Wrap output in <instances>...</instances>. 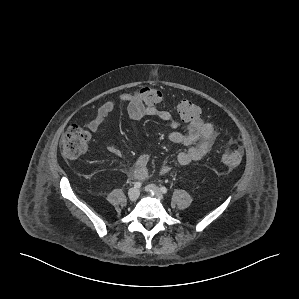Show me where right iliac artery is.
<instances>
[{"instance_id":"1","label":"right iliac artery","mask_w":299,"mask_h":299,"mask_svg":"<svg viewBox=\"0 0 299 299\" xmlns=\"http://www.w3.org/2000/svg\"><path fill=\"white\" fill-rule=\"evenodd\" d=\"M141 185H142L141 182H136V183L134 184V188L138 189V188L141 187Z\"/></svg>"}]
</instances>
